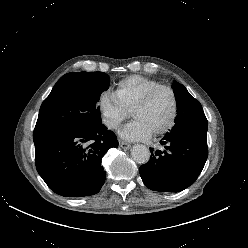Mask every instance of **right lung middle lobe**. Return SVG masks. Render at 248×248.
<instances>
[{"mask_svg": "<svg viewBox=\"0 0 248 248\" xmlns=\"http://www.w3.org/2000/svg\"><path fill=\"white\" fill-rule=\"evenodd\" d=\"M110 79L104 72H71L61 77L43 101L36 125L100 127L98 101Z\"/></svg>", "mask_w": 248, "mask_h": 248, "instance_id": "obj_1", "label": "right lung middle lobe"}]
</instances>
